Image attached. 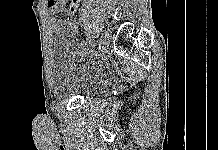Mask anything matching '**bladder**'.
<instances>
[{
    "instance_id": "31cf9c89",
    "label": "bladder",
    "mask_w": 218,
    "mask_h": 150,
    "mask_svg": "<svg viewBox=\"0 0 218 150\" xmlns=\"http://www.w3.org/2000/svg\"><path fill=\"white\" fill-rule=\"evenodd\" d=\"M53 53L52 85L56 97L65 99L92 94L106 80L105 65L94 59H78L75 43L68 36L56 38Z\"/></svg>"
}]
</instances>
